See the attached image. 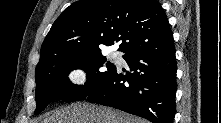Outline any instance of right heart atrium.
<instances>
[{
	"label": "right heart atrium",
	"mask_w": 221,
	"mask_h": 123,
	"mask_svg": "<svg viewBox=\"0 0 221 123\" xmlns=\"http://www.w3.org/2000/svg\"><path fill=\"white\" fill-rule=\"evenodd\" d=\"M86 79V72L79 67L71 69L67 74V80L73 85H83Z\"/></svg>",
	"instance_id": "right-heart-atrium-1"
}]
</instances>
